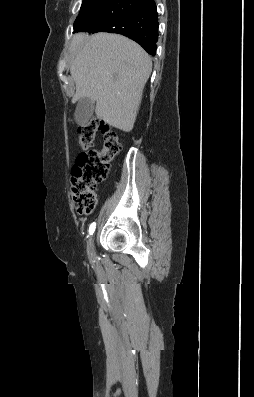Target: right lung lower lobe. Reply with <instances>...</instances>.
<instances>
[{
	"instance_id": "1",
	"label": "right lung lower lobe",
	"mask_w": 254,
	"mask_h": 397,
	"mask_svg": "<svg viewBox=\"0 0 254 397\" xmlns=\"http://www.w3.org/2000/svg\"><path fill=\"white\" fill-rule=\"evenodd\" d=\"M119 33L156 54L158 14L154 0H107L99 11L74 32Z\"/></svg>"
}]
</instances>
